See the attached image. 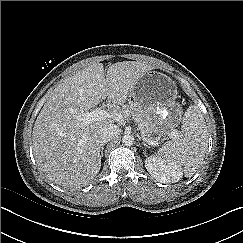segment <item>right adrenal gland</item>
I'll use <instances>...</instances> for the list:
<instances>
[{
    "label": "right adrenal gland",
    "instance_id": "obj_1",
    "mask_svg": "<svg viewBox=\"0 0 243 243\" xmlns=\"http://www.w3.org/2000/svg\"><path fill=\"white\" fill-rule=\"evenodd\" d=\"M104 144L102 145V148H101V157H103Z\"/></svg>",
    "mask_w": 243,
    "mask_h": 243
}]
</instances>
